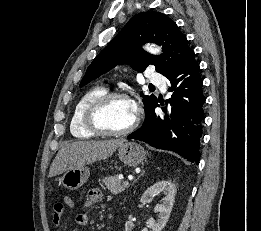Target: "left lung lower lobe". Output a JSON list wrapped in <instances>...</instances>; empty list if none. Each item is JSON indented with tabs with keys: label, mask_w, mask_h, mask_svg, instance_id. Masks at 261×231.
Masks as SVG:
<instances>
[{
	"label": "left lung lower lobe",
	"mask_w": 261,
	"mask_h": 231,
	"mask_svg": "<svg viewBox=\"0 0 261 231\" xmlns=\"http://www.w3.org/2000/svg\"><path fill=\"white\" fill-rule=\"evenodd\" d=\"M171 98L169 106L162 107L165 115H156V101L145 112L141 128L127 136L163 150L173 151L190 162L199 163L200 141L204 120L203 105L205 97L202 91L203 80L200 66L192 55L182 66L168 74Z\"/></svg>",
	"instance_id": "0a47b994"
}]
</instances>
